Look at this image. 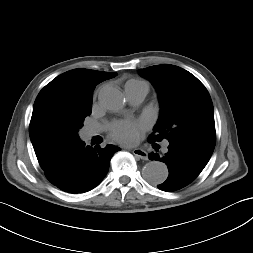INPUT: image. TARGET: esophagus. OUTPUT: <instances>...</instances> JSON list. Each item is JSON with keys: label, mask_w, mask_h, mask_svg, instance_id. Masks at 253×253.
Segmentation results:
<instances>
[{"label": "esophagus", "mask_w": 253, "mask_h": 253, "mask_svg": "<svg viewBox=\"0 0 253 253\" xmlns=\"http://www.w3.org/2000/svg\"><path fill=\"white\" fill-rule=\"evenodd\" d=\"M132 153L142 160H148V153L144 149L135 148L133 149Z\"/></svg>", "instance_id": "34e87169"}]
</instances>
